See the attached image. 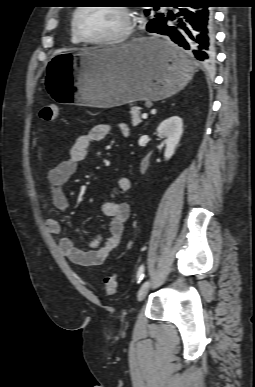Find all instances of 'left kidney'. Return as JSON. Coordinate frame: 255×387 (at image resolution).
Returning <instances> with one entry per match:
<instances>
[{
	"label": "left kidney",
	"mask_w": 255,
	"mask_h": 387,
	"mask_svg": "<svg viewBox=\"0 0 255 387\" xmlns=\"http://www.w3.org/2000/svg\"><path fill=\"white\" fill-rule=\"evenodd\" d=\"M158 135L164 139L166 149L165 160H169L174 152L183 133V121L178 116H172L164 120L157 128Z\"/></svg>",
	"instance_id": "1"
}]
</instances>
